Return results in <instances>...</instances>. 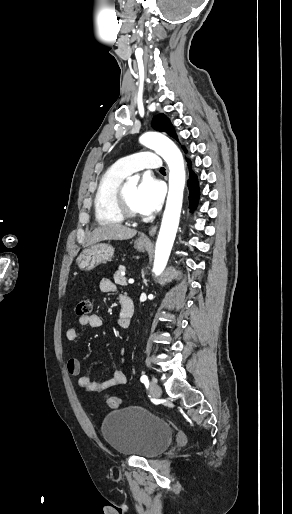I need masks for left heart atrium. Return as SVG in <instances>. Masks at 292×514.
Segmentation results:
<instances>
[{
	"mask_svg": "<svg viewBox=\"0 0 292 514\" xmlns=\"http://www.w3.org/2000/svg\"><path fill=\"white\" fill-rule=\"evenodd\" d=\"M164 190L162 183L151 173L142 176L136 190L138 207L143 213L156 212L163 201Z\"/></svg>",
	"mask_w": 292,
	"mask_h": 514,
	"instance_id": "1",
	"label": "left heart atrium"
}]
</instances>
